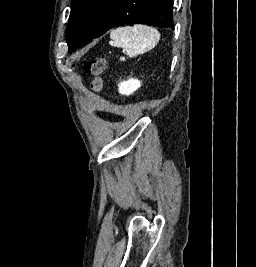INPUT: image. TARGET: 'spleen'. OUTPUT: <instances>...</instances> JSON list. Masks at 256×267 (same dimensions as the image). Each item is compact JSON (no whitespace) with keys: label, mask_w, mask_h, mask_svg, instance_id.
<instances>
[{"label":"spleen","mask_w":256,"mask_h":267,"mask_svg":"<svg viewBox=\"0 0 256 267\" xmlns=\"http://www.w3.org/2000/svg\"><path fill=\"white\" fill-rule=\"evenodd\" d=\"M160 32L151 26H126V28H117L112 30L110 34V46L115 48H123L128 58H135L139 54H145L155 48L160 40Z\"/></svg>","instance_id":"obj_1"}]
</instances>
